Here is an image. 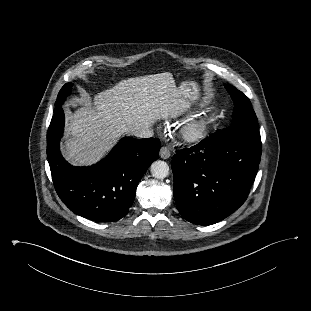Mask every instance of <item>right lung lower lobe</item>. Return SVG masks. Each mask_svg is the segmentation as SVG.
Masks as SVG:
<instances>
[{"instance_id":"right-lung-lower-lobe-1","label":"right lung lower lobe","mask_w":311,"mask_h":311,"mask_svg":"<svg viewBox=\"0 0 311 311\" xmlns=\"http://www.w3.org/2000/svg\"><path fill=\"white\" fill-rule=\"evenodd\" d=\"M63 129L59 107L47 132V157L60 199L75 214L96 222L121 219L134 201L138 182L158 157L159 139L124 137L99 163L74 167L60 153Z\"/></svg>"}]
</instances>
